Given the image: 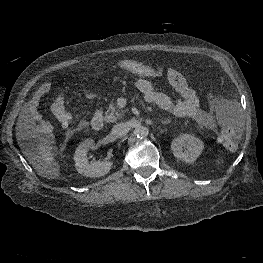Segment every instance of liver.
Returning a JSON list of instances; mask_svg holds the SVG:
<instances>
[{
  "label": "liver",
  "instance_id": "1",
  "mask_svg": "<svg viewBox=\"0 0 263 263\" xmlns=\"http://www.w3.org/2000/svg\"><path fill=\"white\" fill-rule=\"evenodd\" d=\"M21 119L22 117L19 118V121L17 123L16 130L21 131ZM18 136L20 133H17ZM53 139L52 140H44L43 143L39 145V150L42 153L43 160L45 161L46 167L48 168L47 170H42L40 167L37 168L38 172L40 175L47 177L50 175L51 176H57L59 173V166L57 163H55L54 159V153L52 152L53 149Z\"/></svg>",
  "mask_w": 263,
  "mask_h": 263
}]
</instances>
